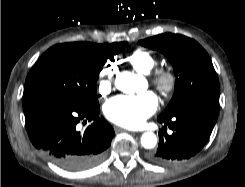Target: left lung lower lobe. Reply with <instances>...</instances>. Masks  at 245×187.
Wrapping results in <instances>:
<instances>
[{
    "mask_svg": "<svg viewBox=\"0 0 245 187\" xmlns=\"http://www.w3.org/2000/svg\"><path fill=\"white\" fill-rule=\"evenodd\" d=\"M218 118V103L206 102L188 107L169 117H158L170 128L171 135L159 132V145L150 159L158 164L171 165L189 159L208 141Z\"/></svg>",
    "mask_w": 245,
    "mask_h": 187,
    "instance_id": "obj_1",
    "label": "left lung lower lobe"
}]
</instances>
